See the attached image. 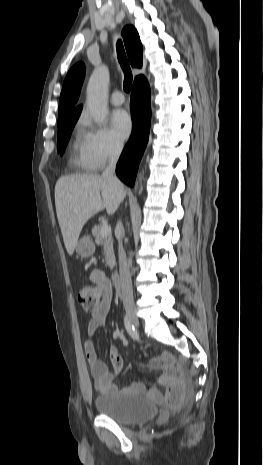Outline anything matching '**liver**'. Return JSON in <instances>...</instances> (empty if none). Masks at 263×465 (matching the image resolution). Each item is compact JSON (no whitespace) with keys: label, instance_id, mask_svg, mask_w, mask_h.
Segmentation results:
<instances>
[{"label":"liver","instance_id":"obj_1","mask_svg":"<svg viewBox=\"0 0 263 465\" xmlns=\"http://www.w3.org/2000/svg\"><path fill=\"white\" fill-rule=\"evenodd\" d=\"M125 197L124 187L100 175H66L55 185V206L65 248L72 255L86 222L106 209L112 215Z\"/></svg>","mask_w":263,"mask_h":465}]
</instances>
